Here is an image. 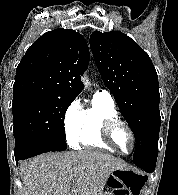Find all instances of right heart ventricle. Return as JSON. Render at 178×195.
<instances>
[{"label":"right heart ventricle","instance_id":"e07e8e85","mask_svg":"<svg viewBox=\"0 0 178 195\" xmlns=\"http://www.w3.org/2000/svg\"><path fill=\"white\" fill-rule=\"evenodd\" d=\"M112 118H118L114 100L95 93L92 105L83 111V127L79 142L86 147L114 152L101 137L103 124Z\"/></svg>","mask_w":178,"mask_h":195}]
</instances>
